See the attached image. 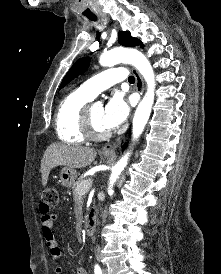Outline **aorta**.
I'll use <instances>...</instances> for the list:
<instances>
[{
  "mask_svg": "<svg viewBox=\"0 0 221 274\" xmlns=\"http://www.w3.org/2000/svg\"><path fill=\"white\" fill-rule=\"evenodd\" d=\"M120 62L132 64L143 76L147 83V91L142 101L137 106L133 118L132 135L133 140H137L142 134L149 119L155 96V74L148 59L136 49L116 48L103 53L99 59L102 66L111 67ZM130 152L124 154L116 163L109 179V190L111 191L118 176L127 165Z\"/></svg>",
  "mask_w": 221,
  "mask_h": 274,
  "instance_id": "aorta-1",
  "label": "aorta"
}]
</instances>
